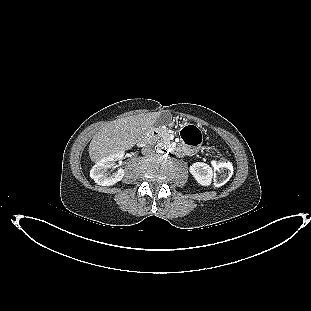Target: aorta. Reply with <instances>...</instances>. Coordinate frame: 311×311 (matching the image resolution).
Here are the masks:
<instances>
[{"label":"aorta","instance_id":"1","mask_svg":"<svg viewBox=\"0 0 311 311\" xmlns=\"http://www.w3.org/2000/svg\"><path fill=\"white\" fill-rule=\"evenodd\" d=\"M167 149L166 145L164 143H158L155 146V150L157 153H164V151Z\"/></svg>","mask_w":311,"mask_h":311}]
</instances>
